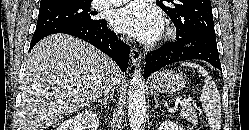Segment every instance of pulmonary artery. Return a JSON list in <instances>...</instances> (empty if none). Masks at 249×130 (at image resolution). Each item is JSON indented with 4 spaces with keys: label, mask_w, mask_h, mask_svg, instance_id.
Returning <instances> with one entry per match:
<instances>
[{
    "label": "pulmonary artery",
    "mask_w": 249,
    "mask_h": 130,
    "mask_svg": "<svg viewBox=\"0 0 249 130\" xmlns=\"http://www.w3.org/2000/svg\"><path fill=\"white\" fill-rule=\"evenodd\" d=\"M129 0H94V5L97 8H106L121 5Z\"/></svg>",
    "instance_id": "pulmonary-artery-1"
}]
</instances>
